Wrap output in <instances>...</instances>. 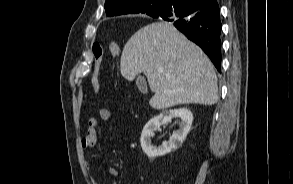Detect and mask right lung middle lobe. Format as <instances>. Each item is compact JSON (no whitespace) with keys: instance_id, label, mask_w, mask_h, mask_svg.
<instances>
[{"instance_id":"obj_1","label":"right lung middle lobe","mask_w":293,"mask_h":184,"mask_svg":"<svg viewBox=\"0 0 293 184\" xmlns=\"http://www.w3.org/2000/svg\"><path fill=\"white\" fill-rule=\"evenodd\" d=\"M166 6H167V1L166 0L155 1L151 5V12H153V13L161 12L162 10L165 9Z\"/></svg>"}]
</instances>
